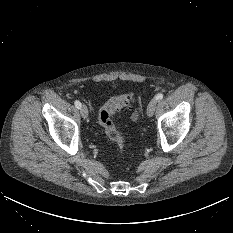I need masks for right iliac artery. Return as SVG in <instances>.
<instances>
[{
	"mask_svg": "<svg viewBox=\"0 0 233 233\" xmlns=\"http://www.w3.org/2000/svg\"><path fill=\"white\" fill-rule=\"evenodd\" d=\"M74 104H75L76 108H78V109L81 108V103H80V101L76 100Z\"/></svg>",
	"mask_w": 233,
	"mask_h": 233,
	"instance_id": "obj_1",
	"label": "right iliac artery"
}]
</instances>
